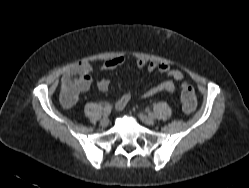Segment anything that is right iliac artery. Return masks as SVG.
Masks as SVG:
<instances>
[{
	"instance_id": "obj_1",
	"label": "right iliac artery",
	"mask_w": 249,
	"mask_h": 188,
	"mask_svg": "<svg viewBox=\"0 0 249 188\" xmlns=\"http://www.w3.org/2000/svg\"><path fill=\"white\" fill-rule=\"evenodd\" d=\"M111 111H112V105L106 104V105L104 106V109H103V116H104V117L109 116V114L111 113Z\"/></svg>"
}]
</instances>
